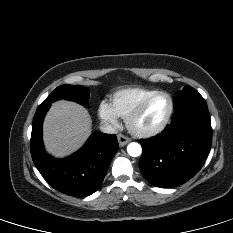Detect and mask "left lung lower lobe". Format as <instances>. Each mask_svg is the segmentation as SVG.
I'll return each mask as SVG.
<instances>
[{"instance_id":"0a47b994","label":"left lung lower lobe","mask_w":233,"mask_h":233,"mask_svg":"<svg viewBox=\"0 0 233 233\" xmlns=\"http://www.w3.org/2000/svg\"><path fill=\"white\" fill-rule=\"evenodd\" d=\"M139 167L154 186L169 188L191 179L203 166L212 144L207 106H191L175 115L164 131L140 140Z\"/></svg>"}]
</instances>
